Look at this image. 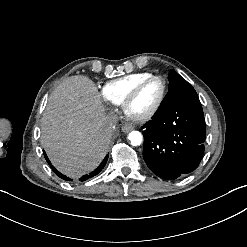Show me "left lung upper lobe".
Listing matches in <instances>:
<instances>
[{"instance_id":"5c2ea615","label":"left lung upper lobe","mask_w":247,"mask_h":247,"mask_svg":"<svg viewBox=\"0 0 247 247\" xmlns=\"http://www.w3.org/2000/svg\"><path fill=\"white\" fill-rule=\"evenodd\" d=\"M169 81V92L165 96L158 111L177 102L199 101L198 95L194 88L176 71L170 70Z\"/></svg>"}]
</instances>
